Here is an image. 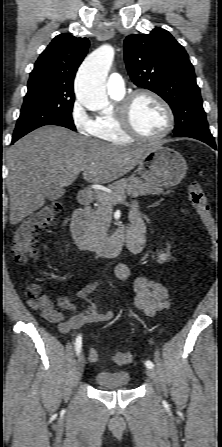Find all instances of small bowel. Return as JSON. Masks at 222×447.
I'll list each match as a JSON object with an SVG mask.
<instances>
[{
	"instance_id": "1",
	"label": "small bowel",
	"mask_w": 222,
	"mask_h": 447,
	"mask_svg": "<svg viewBox=\"0 0 222 447\" xmlns=\"http://www.w3.org/2000/svg\"><path fill=\"white\" fill-rule=\"evenodd\" d=\"M140 218L137 202H133L130 210V219ZM141 242L144 246V229L142 226ZM115 276L118 280H126L130 275L129 267L123 263L115 266ZM97 284L89 282L83 286L76 297L86 302L84 309H79L69 296H60L54 302L47 294L41 295L38 300L28 302V305L37 311L48 322L57 323L62 333L81 328L88 324L105 323L114 318L111 311H102L100 302L96 297ZM134 304L146 316H153L158 311L170 306L171 298L165 285L148 277L140 276L134 282ZM56 306L59 308H56ZM91 352L89 351V360Z\"/></svg>"
}]
</instances>
